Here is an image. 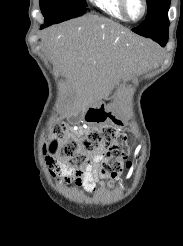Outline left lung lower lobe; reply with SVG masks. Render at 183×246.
<instances>
[{"label":"left lung lower lobe","mask_w":183,"mask_h":246,"mask_svg":"<svg viewBox=\"0 0 183 246\" xmlns=\"http://www.w3.org/2000/svg\"><path fill=\"white\" fill-rule=\"evenodd\" d=\"M150 38L164 47L168 41V33L159 36H152Z\"/></svg>","instance_id":"obj_1"}]
</instances>
